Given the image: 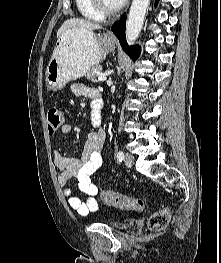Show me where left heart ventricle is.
<instances>
[{
	"instance_id": "b2bd125f",
	"label": "left heart ventricle",
	"mask_w": 221,
	"mask_h": 263,
	"mask_svg": "<svg viewBox=\"0 0 221 263\" xmlns=\"http://www.w3.org/2000/svg\"><path fill=\"white\" fill-rule=\"evenodd\" d=\"M105 5L110 7V8H114L117 7L119 5L117 0H103Z\"/></svg>"
}]
</instances>
